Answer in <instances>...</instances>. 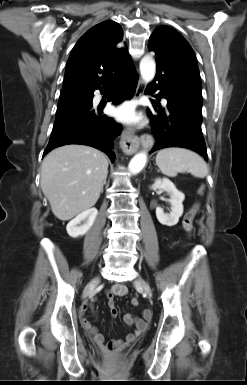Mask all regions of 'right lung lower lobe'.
<instances>
[{
	"mask_svg": "<svg viewBox=\"0 0 247 385\" xmlns=\"http://www.w3.org/2000/svg\"><path fill=\"white\" fill-rule=\"evenodd\" d=\"M137 82L138 78L134 66L131 64L111 83L99 89L103 91L114 87V93L109 101L116 105L133 97ZM92 99L93 93L90 99L57 111L53 131L43 156L59 146L83 144L105 152L114 162L115 154L112 151L111 143L115 137L120 135L122 127L102 114L103 105L93 107Z\"/></svg>",
	"mask_w": 247,
	"mask_h": 385,
	"instance_id": "98d812e1",
	"label": "right lung lower lobe"
}]
</instances>
